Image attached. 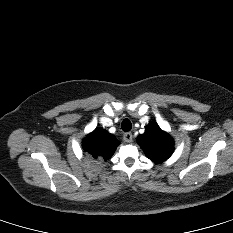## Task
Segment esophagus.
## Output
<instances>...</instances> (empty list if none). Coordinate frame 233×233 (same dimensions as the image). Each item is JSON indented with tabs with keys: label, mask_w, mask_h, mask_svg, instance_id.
I'll use <instances>...</instances> for the list:
<instances>
[{
	"label": "esophagus",
	"mask_w": 233,
	"mask_h": 233,
	"mask_svg": "<svg viewBox=\"0 0 233 233\" xmlns=\"http://www.w3.org/2000/svg\"><path fill=\"white\" fill-rule=\"evenodd\" d=\"M123 139L127 143H131L133 141V135L130 132L124 133Z\"/></svg>",
	"instance_id": "1"
}]
</instances>
